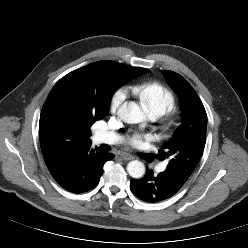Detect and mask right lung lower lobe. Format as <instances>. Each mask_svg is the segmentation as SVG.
I'll return each mask as SVG.
<instances>
[{"label":"right lung lower lobe","mask_w":248,"mask_h":248,"mask_svg":"<svg viewBox=\"0 0 248 248\" xmlns=\"http://www.w3.org/2000/svg\"><path fill=\"white\" fill-rule=\"evenodd\" d=\"M113 157L112 153H103L98 148H87L76 154L52 176L65 190L76 194L84 193L97 186L105 162Z\"/></svg>","instance_id":"right-lung-lower-lobe-1"}]
</instances>
